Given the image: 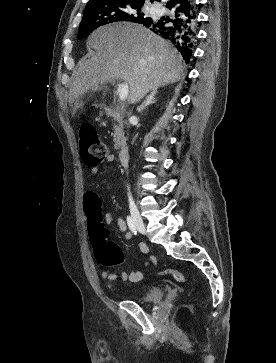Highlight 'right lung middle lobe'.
Segmentation results:
<instances>
[{
  "mask_svg": "<svg viewBox=\"0 0 276 363\" xmlns=\"http://www.w3.org/2000/svg\"><path fill=\"white\" fill-rule=\"evenodd\" d=\"M144 3L131 1H103L89 5L84 10L79 26L78 38L88 36L99 26L117 21L142 23L146 17L141 12Z\"/></svg>",
  "mask_w": 276,
  "mask_h": 363,
  "instance_id": "right-lung-middle-lobe-1",
  "label": "right lung middle lobe"
}]
</instances>
